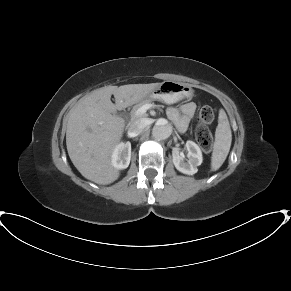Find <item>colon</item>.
Segmentation results:
<instances>
[{
	"instance_id": "colon-1",
	"label": "colon",
	"mask_w": 291,
	"mask_h": 291,
	"mask_svg": "<svg viewBox=\"0 0 291 291\" xmlns=\"http://www.w3.org/2000/svg\"><path fill=\"white\" fill-rule=\"evenodd\" d=\"M214 117V111L209 106L202 107L198 114L199 124L195 130L194 136L196 142L205 151H210L212 148V134L206 125L212 123Z\"/></svg>"
}]
</instances>
